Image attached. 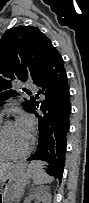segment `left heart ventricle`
<instances>
[{
  "mask_svg": "<svg viewBox=\"0 0 89 203\" xmlns=\"http://www.w3.org/2000/svg\"><path fill=\"white\" fill-rule=\"evenodd\" d=\"M5 147L10 153L23 150L29 142V136L22 133L17 124H8L5 128Z\"/></svg>",
  "mask_w": 89,
  "mask_h": 203,
  "instance_id": "b2bd125f",
  "label": "left heart ventricle"
}]
</instances>
